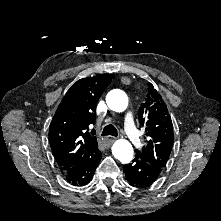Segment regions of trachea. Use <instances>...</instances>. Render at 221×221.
Wrapping results in <instances>:
<instances>
[{
	"instance_id": "1",
	"label": "trachea",
	"mask_w": 221,
	"mask_h": 221,
	"mask_svg": "<svg viewBox=\"0 0 221 221\" xmlns=\"http://www.w3.org/2000/svg\"><path fill=\"white\" fill-rule=\"evenodd\" d=\"M107 135L116 136V137L118 135L117 129L111 124L105 126L103 129L102 136H107Z\"/></svg>"
}]
</instances>
